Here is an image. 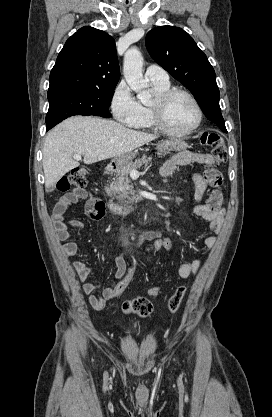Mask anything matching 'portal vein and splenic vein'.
Returning <instances> with one entry per match:
<instances>
[{
    "instance_id": "1",
    "label": "portal vein and splenic vein",
    "mask_w": 272,
    "mask_h": 417,
    "mask_svg": "<svg viewBox=\"0 0 272 417\" xmlns=\"http://www.w3.org/2000/svg\"><path fill=\"white\" fill-rule=\"evenodd\" d=\"M73 158L75 160H81V155L80 154H74ZM139 174V172L136 169H133L130 171V175L131 176H137Z\"/></svg>"
}]
</instances>
